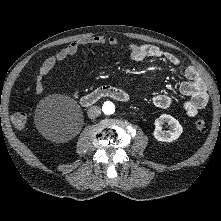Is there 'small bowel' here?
Segmentation results:
<instances>
[{
    "label": "small bowel",
    "mask_w": 221,
    "mask_h": 221,
    "mask_svg": "<svg viewBox=\"0 0 221 221\" xmlns=\"http://www.w3.org/2000/svg\"><path fill=\"white\" fill-rule=\"evenodd\" d=\"M104 44L117 46L118 39L114 36L105 37L102 35H95L72 42L58 51L55 55L47 58L41 64L39 72L36 76L34 86L35 93L37 95L43 94L45 90L44 79L51 73V71L58 63L64 61L68 57L75 55L84 46ZM127 49L129 52V57L132 61L139 62L146 58L165 59L172 66L184 69V74L187 80L181 83L180 92L184 96L188 97V100L183 104L184 111L188 116H195L200 109L207 105L209 98L206 85L194 67H184L181 61L175 55L164 51L155 45L129 44ZM152 102L154 106L165 109L173 104V98L167 94H159L153 97Z\"/></svg>",
    "instance_id": "small-bowel-1"
}]
</instances>
